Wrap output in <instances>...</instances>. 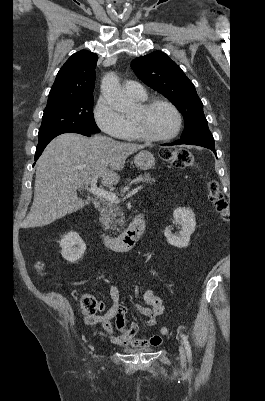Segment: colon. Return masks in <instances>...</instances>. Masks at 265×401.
Here are the masks:
<instances>
[{
  "instance_id": "5ec220e1",
  "label": "colon",
  "mask_w": 265,
  "mask_h": 401,
  "mask_svg": "<svg viewBox=\"0 0 265 401\" xmlns=\"http://www.w3.org/2000/svg\"><path fill=\"white\" fill-rule=\"evenodd\" d=\"M161 157L176 168L183 169L194 165V160L191 154L185 150L174 148H163L161 150ZM208 197L213 204L216 211L223 217L228 213V203L223 196L219 184L216 180H211L208 183ZM41 269V265H37ZM102 304L92 295H85L81 298L80 308L85 316H94L95 313L101 310ZM161 334L168 335L169 329L166 327L161 328Z\"/></svg>"
}]
</instances>
